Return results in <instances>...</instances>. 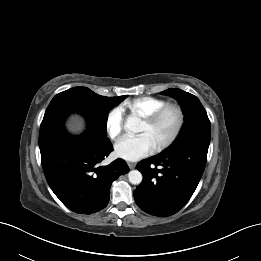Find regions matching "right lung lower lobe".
<instances>
[{
	"label": "right lung lower lobe",
	"instance_id": "obj_1",
	"mask_svg": "<svg viewBox=\"0 0 261 261\" xmlns=\"http://www.w3.org/2000/svg\"><path fill=\"white\" fill-rule=\"evenodd\" d=\"M39 147L50 188L67 208L79 214L105 208L112 182L129 171L120 158L101 165L113 147L109 139L90 130L73 137L63 124L47 126L40 129Z\"/></svg>",
	"mask_w": 261,
	"mask_h": 261
}]
</instances>
